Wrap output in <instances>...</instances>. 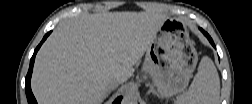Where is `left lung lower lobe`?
<instances>
[{
	"label": "left lung lower lobe",
	"instance_id": "left-lung-lower-lobe-1",
	"mask_svg": "<svg viewBox=\"0 0 252 104\" xmlns=\"http://www.w3.org/2000/svg\"><path fill=\"white\" fill-rule=\"evenodd\" d=\"M200 30L203 32V34L208 38V40L210 41V43L212 44V46L215 47V44L212 40V38L209 36V34L207 32H205L203 29L200 28Z\"/></svg>",
	"mask_w": 252,
	"mask_h": 104
}]
</instances>
